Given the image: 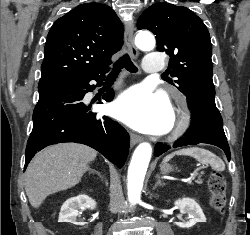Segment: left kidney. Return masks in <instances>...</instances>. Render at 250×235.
<instances>
[{"label":"left kidney","instance_id":"obj_1","mask_svg":"<svg viewBox=\"0 0 250 235\" xmlns=\"http://www.w3.org/2000/svg\"><path fill=\"white\" fill-rule=\"evenodd\" d=\"M179 207L181 213L188 214V222H178L177 226L181 228H190L198 222H206V217L199 204L191 198H182L174 202Z\"/></svg>","mask_w":250,"mask_h":235}]
</instances>
